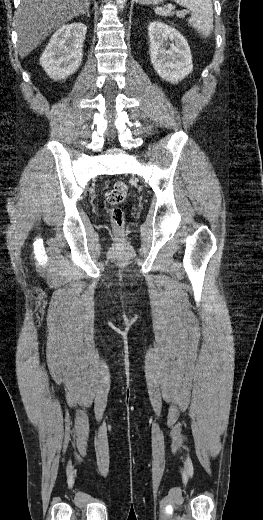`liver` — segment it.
<instances>
[{
  "instance_id": "liver-1",
  "label": "liver",
  "mask_w": 263,
  "mask_h": 520,
  "mask_svg": "<svg viewBox=\"0 0 263 520\" xmlns=\"http://www.w3.org/2000/svg\"><path fill=\"white\" fill-rule=\"evenodd\" d=\"M90 0H21L15 14L17 46L26 57L54 30L85 13Z\"/></svg>"
}]
</instances>
